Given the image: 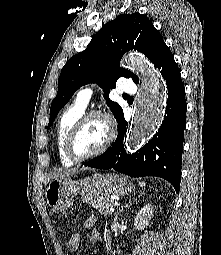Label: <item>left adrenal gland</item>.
I'll use <instances>...</instances> for the list:
<instances>
[{
    "mask_svg": "<svg viewBox=\"0 0 221 255\" xmlns=\"http://www.w3.org/2000/svg\"><path fill=\"white\" fill-rule=\"evenodd\" d=\"M140 196H142V194L139 195V197H140ZM135 200H136V199H134V200H132V201L130 200L129 203L131 204V203L134 202ZM128 206H129V204H125L124 207H122L119 211L116 212L115 217H114V221H117V219H118L120 213L123 212V211H124V208H126V207H128Z\"/></svg>",
    "mask_w": 221,
    "mask_h": 255,
    "instance_id": "a2214340",
    "label": "left adrenal gland"
}]
</instances>
